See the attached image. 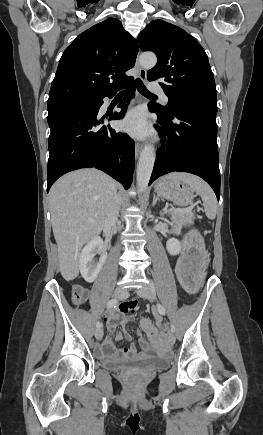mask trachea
<instances>
[{"mask_svg":"<svg viewBox=\"0 0 263 435\" xmlns=\"http://www.w3.org/2000/svg\"><path fill=\"white\" fill-rule=\"evenodd\" d=\"M137 90L144 96L147 97H156V95L152 94L151 92H149L146 88V86L143 84L142 80L137 78L135 81ZM124 92H121V94H123Z\"/></svg>","mask_w":263,"mask_h":435,"instance_id":"trachea-1","label":"trachea"}]
</instances>
